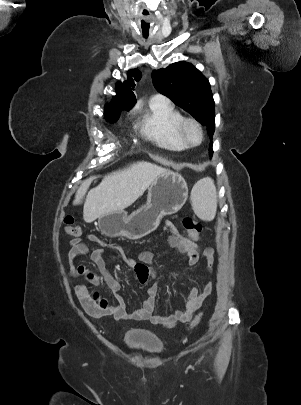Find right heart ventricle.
<instances>
[{"label":"right heart ventricle","mask_w":301,"mask_h":405,"mask_svg":"<svg viewBox=\"0 0 301 405\" xmlns=\"http://www.w3.org/2000/svg\"><path fill=\"white\" fill-rule=\"evenodd\" d=\"M181 118L182 115L171 104L151 101L148 108L137 115L135 127L157 146L182 151L188 146L178 133Z\"/></svg>","instance_id":"obj_1"}]
</instances>
